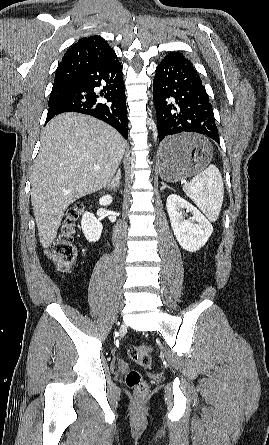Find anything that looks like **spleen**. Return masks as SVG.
I'll return each instance as SVG.
<instances>
[{
	"label": "spleen",
	"instance_id": "3e777b00",
	"mask_svg": "<svg viewBox=\"0 0 269 445\" xmlns=\"http://www.w3.org/2000/svg\"><path fill=\"white\" fill-rule=\"evenodd\" d=\"M185 194L197 205L211 222H215L221 211L224 186L219 169L210 164L190 182L183 185Z\"/></svg>",
	"mask_w": 269,
	"mask_h": 445
}]
</instances>
